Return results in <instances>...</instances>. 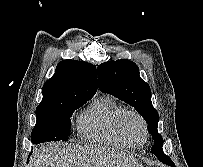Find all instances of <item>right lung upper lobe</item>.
Masks as SVG:
<instances>
[{"mask_svg": "<svg viewBox=\"0 0 203 167\" xmlns=\"http://www.w3.org/2000/svg\"><path fill=\"white\" fill-rule=\"evenodd\" d=\"M97 91L96 67L84 61L63 60L42 89L37 108L53 107L72 99L92 98Z\"/></svg>", "mask_w": 203, "mask_h": 167, "instance_id": "cb5924a9", "label": "right lung upper lobe"}]
</instances>
